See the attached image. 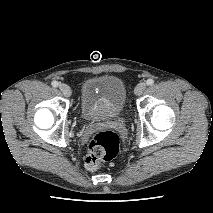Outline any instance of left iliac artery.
I'll return each mask as SVG.
<instances>
[{"label":"left iliac artery","mask_w":213,"mask_h":213,"mask_svg":"<svg viewBox=\"0 0 213 213\" xmlns=\"http://www.w3.org/2000/svg\"><path fill=\"white\" fill-rule=\"evenodd\" d=\"M146 84L151 86V85L154 84V80H153V79H148V80L146 81Z\"/></svg>","instance_id":"obj_1"}]
</instances>
